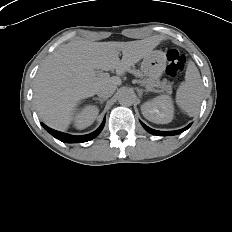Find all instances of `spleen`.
<instances>
[{"label":"spleen","mask_w":232,"mask_h":232,"mask_svg":"<svg viewBox=\"0 0 232 232\" xmlns=\"http://www.w3.org/2000/svg\"><path fill=\"white\" fill-rule=\"evenodd\" d=\"M202 91V80L200 73L194 63H190L186 70L185 81L180 84L176 93V102L186 112L193 116L200 106Z\"/></svg>","instance_id":"1"}]
</instances>
